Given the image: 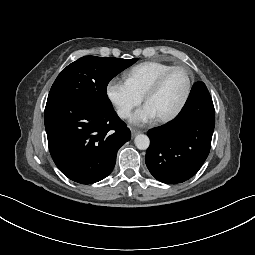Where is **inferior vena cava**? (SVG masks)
<instances>
[{
  "mask_svg": "<svg viewBox=\"0 0 255 255\" xmlns=\"http://www.w3.org/2000/svg\"><path fill=\"white\" fill-rule=\"evenodd\" d=\"M121 117L125 118L130 115V112L128 110H123L120 112Z\"/></svg>",
  "mask_w": 255,
  "mask_h": 255,
  "instance_id": "1",
  "label": "inferior vena cava"
}]
</instances>
